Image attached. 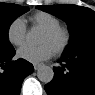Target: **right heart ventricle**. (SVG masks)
Returning <instances> with one entry per match:
<instances>
[{"mask_svg":"<svg viewBox=\"0 0 95 95\" xmlns=\"http://www.w3.org/2000/svg\"><path fill=\"white\" fill-rule=\"evenodd\" d=\"M31 20L34 25L39 26L43 30H48L60 26V20L58 18L43 11L35 13L31 17Z\"/></svg>","mask_w":95,"mask_h":95,"instance_id":"right-heart-ventricle-1","label":"right heart ventricle"}]
</instances>
